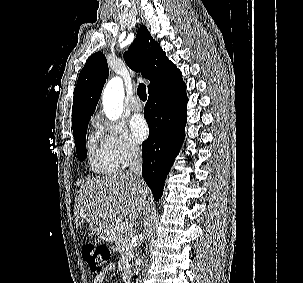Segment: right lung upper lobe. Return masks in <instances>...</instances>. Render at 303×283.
I'll list each match as a JSON object with an SVG mask.
<instances>
[{
	"mask_svg": "<svg viewBox=\"0 0 303 283\" xmlns=\"http://www.w3.org/2000/svg\"><path fill=\"white\" fill-rule=\"evenodd\" d=\"M124 59L131 69L141 72L143 77L150 80L149 93L181 75L144 25L139 28L136 39L124 53ZM108 75V65L103 53L97 52L87 59L75 88L72 107L73 128L90 120Z\"/></svg>",
	"mask_w": 303,
	"mask_h": 283,
	"instance_id": "right-lung-upper-lobe-1",
	"label": "right lung upper lobe"
}]
</instances>
